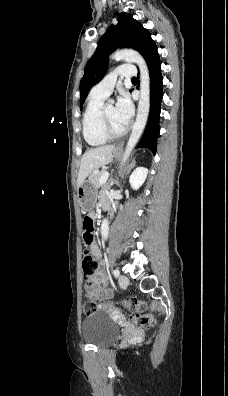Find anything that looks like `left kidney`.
Returning a JSON list of instances; mask_svg holds the SVG:
<instances>
[{
	"label": "left kidney",
	"mask_w": 228,
	"mask_h": 396,
	"mask_svg": "<svg viewBox=\"0 0 228 396\" xmlns=\"http://www.w3.org/2000/svg\"><path fill=\"white\" fill-rule=\"evenodd\" d=\"M148 174V169L137 167L130 175L129 182L133 189L137 190L144 183Z\"/></svg>",
	"instance_id": "obj_1"
}]
</instances>
